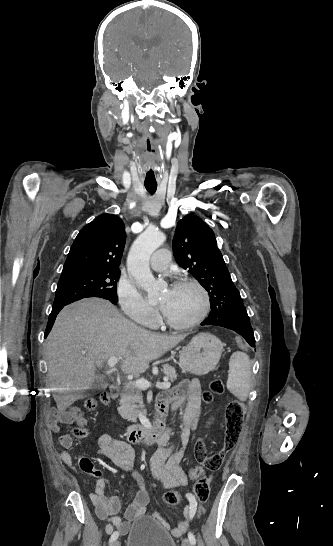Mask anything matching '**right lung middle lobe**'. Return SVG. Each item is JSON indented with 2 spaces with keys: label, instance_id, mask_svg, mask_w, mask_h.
I'll return each instance as SVG.
<instances>
[{
  "label": "right lung middle lobe",
  "instance_id": "1",
  "mask_svg": "<svg viewBox=\"0 0 333 546\" xmlns=\"http://www.w3.org/2000/svg\"><path fill=\"white\" fill-rule=\"evenodd\" d=\"M119 277V270L61 275L53 307L67 305L87 297H100L118 302L116 289Z\"/></svg>",
  "mask_w": 333,
  "mask_h": 546
}]
</instances>
